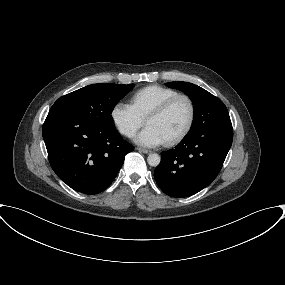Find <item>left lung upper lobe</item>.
Returning a JSON list of instances; mask_svg holds the SVG:
<instances>
[{
	"instance_id": "1",
	"label": "left lung upper lobe",
	"mask_w": 285,
	"mask_h": 285,
	"mask_svg": "<svg viewBox=\"0 0 285 285\" xmlns=\"http://www.w3.org/2000/svg\"><path fill=\"white\" fill-rule=\"evenodd\" d=\"M166 86L183 91L192 100L194 120L188 134L210 128H232L227 108L219 98L188 82H168Z\"/></svg>"
}]
</instances>
